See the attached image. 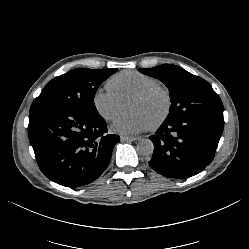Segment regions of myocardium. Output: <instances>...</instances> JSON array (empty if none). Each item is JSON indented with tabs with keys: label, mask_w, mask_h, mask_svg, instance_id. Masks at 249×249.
I'll list each match as a JSON object with an SVG mask.
<instances>
[{
	"label": "myocardium",
	"mask_w": 249,
	"mask_h": 249,
	"mask_svg": "<svg viewBox=\"0 0 249 249\" xmlns=\"http://www.w3.org/2000/svg\"><path fill=\"white\" fill-rule=\"evenodd\" d=\"M156 95H160L164 102V109L160 117L151 125H149V129L155 131L159 129L169 118L172 108H173V99L170 91L162 86V85H153L145 90L133 95L131 99L134 100H148Z\"/></svg>",
	"instance_id": "1"
}]
</instances>
